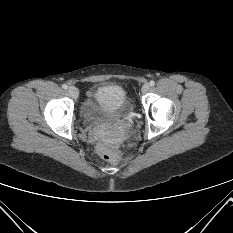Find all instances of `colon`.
I'll return each instance as SVG.
<instances>
[{"mask_svg": "<svg viewBox=\"0 0 233 233\" xmlns=\"http://www.w3.org/2000/svg\"><path fill=\"white\" fill-rule=\"evenodd\" d=\"M100 155H101L102 158H104L105 160H112V159L114 158L113 154H112L109 150H107V149H105V148H102V149L100 150Z\"/></svg>", "mask_w": 233, "mask_h": 233, "instance_id": "colon-1", "label": "colon"}]
</instances>
